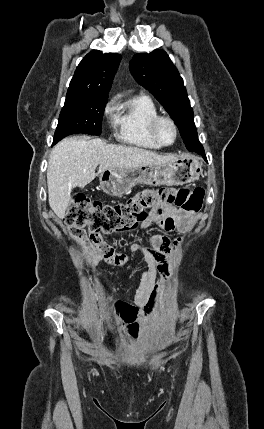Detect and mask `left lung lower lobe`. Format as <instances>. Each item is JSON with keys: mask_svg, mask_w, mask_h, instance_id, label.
I'll use <instances>...</instances> for the list:
<instances>
[{"mask_svg": "<svg viewBox=\"0 0 264 429\" xmlns=\"http://www.w3.org/2000/svg\"><path fill=\"white\" fill-rule=\"evenodd\" d=\"M195 152H197V153H199V154H201V155H203L204 157H205V154H204V150L203 149H196V151Z\"/></svg>", "mask_w": 264, "mask_h": 429, "instance_id": "0a47b994", "label": "left lung lower lobe"}]
</instances>
